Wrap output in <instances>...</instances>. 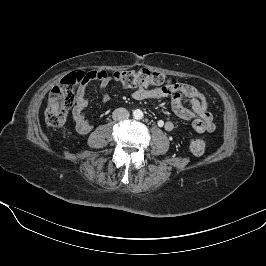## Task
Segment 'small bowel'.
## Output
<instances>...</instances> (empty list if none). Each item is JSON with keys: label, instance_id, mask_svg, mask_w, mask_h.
<instances>
[{"label": "small bowel", "instance_id": "c3829d8e", "mask_svg": "<svg viewBox=\"0 0 266 266\" xmlns=\"http://www.w3.org/2000/svg\"><path fill=\"white\" fill-rule=\"evenodd\" d=\"M88 80L100 82L101 98L104 103L110 100L107 87L112 78L103 70H94L87 73ZM171 97V106L174 113L186 121H190L194 130L198 133L212 132L215 128L213 115L208 108L205 96L194 86L187 83L168 84L154 89L138 86L132 93L135 100L159 99ZM185 104L189 108L185 107ZM88 106L85 84L81 85L76 93V102L72 110V117L78 133L88 134L93 126L85 118L84 110ZM167 131L174 129V123L167 121L164 124Z\"/></svg>", "mask_w": 266, "mask_h": 266}]
</instances>
